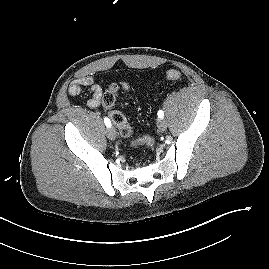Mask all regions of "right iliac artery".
<instances>
[{
    "mask_svg": "<svg viewBox=\"0 0 269 269\" xmlns=\"http://www.w3.org/2000/svg\"><path fill=\"white\" fill-rule=\"evenodd\" d=\"M104 123L107 127H111V121L107 117L104 118Z\"/></svg>",
    "mask_w": 269,
    "mask_h": 269,
    "instance_id": "1",
    "label": "right iliac artery"
}]
</instances>
